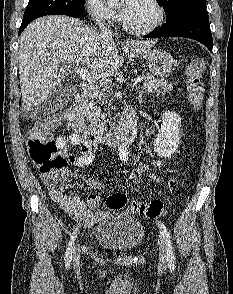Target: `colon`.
I'll return each instance as SVG.
<instances>
[{"label": "colon", "instance_id": "1", "mask_svg": "<svg viewBox=\"0 0 233 294\" xmlns=\"http://www.w3.org/2000/svg\"><path fill=\"white\" fill-rule=\"evenodd\" d=\"M204 67V60L195 56L186 69L188 99L195 109L202 106L204 98ZM58 124L55 117L36 122L28 130L26 147L32 163L46 176L50 184L57 189H63L67 183L68 162L57 153L58 147L53 138V132ZM93 205L98 207L100 203L94 202ZM106 207L109 209L126 207L129 212L149 219L158 218L164 213V204L160 200L128 203L123 193L111 195L106 201Z\"/></svg>", "mask_w": 233, "mask_h": 294}]
</instances>
